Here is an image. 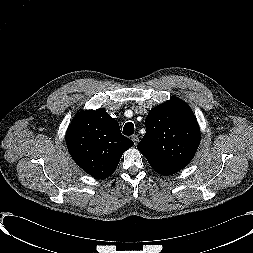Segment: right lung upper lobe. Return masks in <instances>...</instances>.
<instances>
[{
    "instance_id": "1",
    "label": "right lung upper lobe",
    "mask_w": 253,
    "mask_h": 253,
    "mask_svg": "<svg viewBox=\"0 0 253 253\" xmlns=\"http://www.w3.org/2000/svg\"><path fill=\"white\" fill-rule=\"evenodd\" d=\"M66 144L73 160L97 179L109 177L134 145L103 108L78 113L67 129Z\"/></svg>"
}]
</instances>
